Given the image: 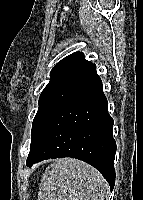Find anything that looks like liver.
Here are the masks:
<instances>
[{
  "mask_svg": "<svg viewBox=\"0 0 143 200\" xmlns=\"http://www.w3.org/2000/svg\"><path fill=\"white\" fill-rule=\"evenodd\" d=\"M108 183L91 165L59 158L44 171L37 200H105Z\"/></svg>",
  "mask_w": 143,
  "mask_h": 200,
  "instance_id": "liver-1",
  "label": "liver"
}]
</instances>
